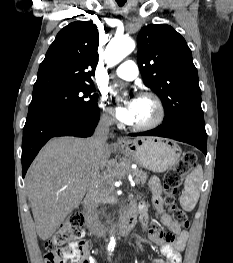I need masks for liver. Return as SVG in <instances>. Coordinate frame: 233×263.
Instances as JSON below:
<instances>
[{
    "label": "liver",
    "mask_w": 233,
    "mask_h": 263,
    "mask_svg": "<svg viewBox=\"0 0 233 263\" xmlns=\"http://www.w3.org/2000/svg\"><path fill=\"white\" fill-rule=\"evenodd\" d=\"M111 155L98 163L91 139L59 137L40 151L26 176V191L40 239H49L81 203Z\"/></svg>",
    "instance_id": "6515ba94"
}]
</instances>
